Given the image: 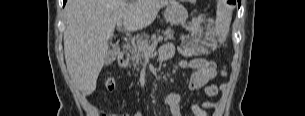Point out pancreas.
<instances>
[{"instance_id": "obj_1", "label": "pancreas", "mask_w": 305, "mask_h": 116, "mask_svg": "<svg viewBox=\"0 0 305 116\" xmlns=\"http://www.w3.org/2000/svg\"><path fill=\"white\" fill-rule=\"evenodd\" d=\"M166 39L173 40L174 39V31L168 27L165 31L162 32ZM148 44V39H141L136 43L131 51V61L134 68H137L143 59V51L140 49V45ZM138 69V68H137Z\"/></svg>"}]
</instances>
